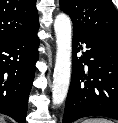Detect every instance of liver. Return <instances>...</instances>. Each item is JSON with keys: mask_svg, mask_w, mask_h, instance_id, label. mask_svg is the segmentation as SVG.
Masks as SVG:
<instances>
[{"mask_svg": "<svg viewBox=\"0 0 118 123\" xmlns=\"http://www.w3.org/2000/svg\"><path fill=\"white\" fill-rule=\"evenodd\" d=\"M0 123H6L2 116H0Z\"/></svg>", "mask_w": 118, "mask_h": 123, "instance_id": "1", "label": "liver"}]
</instances>
